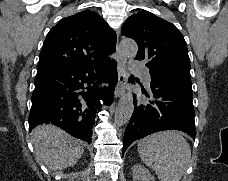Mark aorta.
Returning a JSON list of instances; mask_svg holds the SVG:
<instances>
[{
  "mask_svg": "<svg viewBox=\"0 0 228 181\" xmlns=\"http://www.w3.org/2000/svg\"><path fill=\"white\" fill-rule=\"evenodd\" d=\"M120 53L126 58H132L137 54L138 47L134 40L125 38L119 45ZM134 110L132 93L128 92L121 96L115 110L114 123L123 126L128 123Z\"/></svg>",
  "mask_w": 228,
  "mask_h": 181,
  "instance_id": "obj_1",
  "label": "aorta"
}]
</instances>
